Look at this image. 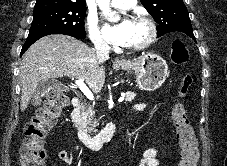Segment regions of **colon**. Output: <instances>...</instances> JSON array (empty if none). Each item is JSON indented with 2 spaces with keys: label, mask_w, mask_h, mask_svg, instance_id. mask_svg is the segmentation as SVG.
Masks as SVG:
<instances>
[{
  "label": "colon",
  "mask_w": 227,
  "mask_h": 166,
  "mask_svg": "<svg viewBox=\"0 0 227 166\" xmlns=\"http://www.w3.org/2000/svg\"><path fill=\"white\" fill-rule=\"evenodd\" d=\"M171 51L172 60L175 64H185L189 61L190 52L182 41H173ZM192 83V75L185 74L179 87L178 98L171 108L180 148L178 166H196L199 157L195 133L189 122L186 106L183 103ZM67 105L68 97L60 90H53L37 114L25 125V138L20 148L21 166H45L44 140L49 130L56 125Z\"/></svg>",
  "instance_id": "obj_1"
}]
</instances>
